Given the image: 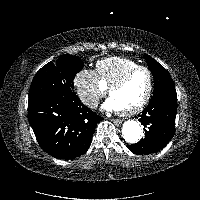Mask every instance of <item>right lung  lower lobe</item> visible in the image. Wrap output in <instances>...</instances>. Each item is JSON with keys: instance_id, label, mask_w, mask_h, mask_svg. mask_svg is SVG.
Masks as SVG:
<instances>
[{"instance_id": "right-lung-lower-lobe-1", "label": "right lung lower lobe", "mask_w": 200, "mask_h": 200, "mask_svg": "<svg viewBox=\"0 0 200 200\" xmlns=\"http://www.w3.org/2000/svg\"><path fill=\"white\" fill-rule=\"evenodd\" d=\"M28 119L40 147L53 157L68 160L87 151L102 117L74 95L29 99Z\"/></svg>"}]
</instances>
